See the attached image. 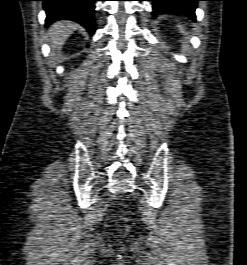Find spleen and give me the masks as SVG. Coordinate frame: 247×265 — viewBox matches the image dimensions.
Masks as SVG:
<instances>
[{
	"mask_svg": "<svg viewBox=\"0 0 247 265\" xmlns=\"http://www.w3.org/2000/svg\"><path fill=\"white\" fill-rule=\"evenodd\" d=\"M178 27H179L180 30L184 29L182 25H178Z\"/></svg>",
	"mask_w": 247,
	"mask_h": 265,
	"instance_id": "spleen-1",
	"label": "spleen"
}]
</instances>
